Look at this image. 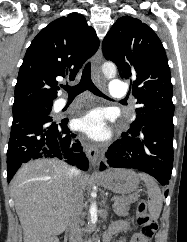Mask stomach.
<instances>
[{"label": "stomach", "mask_w": 187, "mask_h": 242, "mask_svg": "<svg viewBox=\"0 0 187 242\" xmlns=\"http://www.w3.org/2000/svg\"><path fill=\"white\" fill-rule=\"evenodd\" d=\"M101 184L116 193L128 194L139 186L138 175L129 169H114L100 177Z\"/></svg>", "instance_id": "obj_1"}]
</instances>
